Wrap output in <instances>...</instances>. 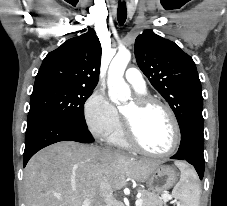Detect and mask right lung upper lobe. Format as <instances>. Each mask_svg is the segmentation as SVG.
I'll use <instances>...</instances> for the list:
<instances>
[{
  "instance_id": "cb5924a9",
  "label": "right lung upper lobe",
  "mask_w": 227,
  "mask_h": 206,
  "mask_svg": "<svg viewBox=\"0 0 227 206\" xmlns=\"http://www.w3.org/2000/svg\"><path fill=\"white\" fill-rule=\"evenodd\" d=\"M101 44L96 33L89 31L64 42L47 54L35 78V84L56 82L84 88L98 83Z\"/></svg>"
}]
</instances>
